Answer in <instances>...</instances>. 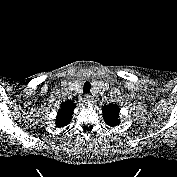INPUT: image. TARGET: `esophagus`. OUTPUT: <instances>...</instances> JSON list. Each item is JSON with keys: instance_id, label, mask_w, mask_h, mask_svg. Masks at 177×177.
<instances>
[{"instance_id": "obj_1", "label": "esophagus", "mask_w": 177, "mask_h": 177, "mask_svg": "<svg viewBox=\"0 0 177 177\" xmlns=\"http://www.w3.org/2000/svg\"><path fill=\"white\" fill-rule=\"evenodd\" d=\"M84 102L86 103V104H92V102H93V98H92V96L91 95H85V97H84Z\"/></svg>"}]
</instances>
